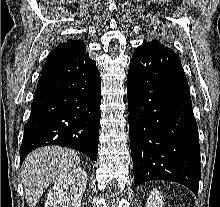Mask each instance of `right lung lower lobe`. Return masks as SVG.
<instances>
[{
    "label": "right lung lower lobe",
    "instance_id": "right-lung-lower-lobe-1",
    "mask_svg": "<svg viewBox=\"0 0 220 207\" xmlns=\"http://www.w3.org/2000/svg\"><path fill=\"white\" fill-rule=\"evenodd\" d=\"M100 104V74L87 53L46 60L24 127L20 164L46 145L66 146L96 160Z\"/></svg>",
    "mask_w": 220,
    "mask_h": 207
}]
</instances>
